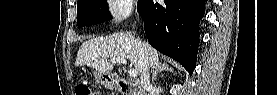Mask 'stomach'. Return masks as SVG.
Segmentation results:
<instances>
[{"label": "stomach", "instance_id": "1", "mask_svg": "<svg viewBox=\"0 0 277 95\" xmlns=\"http://www.w3.org/2000/svg\"><path fill=\"white\" fill-rule=\"evenodd\" d=\"M94 76L97 82L101 83L102 85L107 87L114 86V80L109 73H102L99 71H95Z\"/></svg>", "mask_w": 277, "mask_h": 95}]
</instances>
